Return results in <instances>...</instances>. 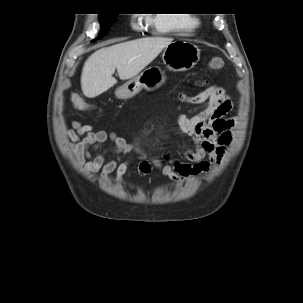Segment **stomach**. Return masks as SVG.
<instances>
[{"label": "stomach", "mask_w": 303, "mask_h": 303, "mask_svg": "<svg viewBox=\"0 0 303 303\" xmlns=\"http://www.w3.org/2000/svg\"><path fill=\"white\" fill-rule=\"evenodd\" d=\"M200 59V49L193 43L176 40L164 48L162 60L174 71L192 69ZM166 81V75L159 67H149L136 77L128 80L117 88L115 95L119 99H128L138 94L142 89L155 90Z\"/></svg>", "instance_id": "stomach-1"}]
</instances>
